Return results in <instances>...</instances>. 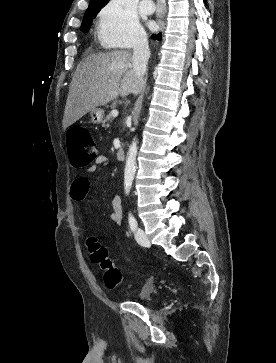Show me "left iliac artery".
<instances>
[{
    "instance_id": "1",
    "label": "left iliac artery",
    "mask_w": 276,
    "mask_h": 363,
    "mask_svg": "<svg viewBox=\"0 0 276 363\" xmlns=\"http://www.w3.org/2000/svg\"><path fill=\"white\" fill-rule=\"evenodd\" d=\"M128 220H129L130 229L132 231H135L138 224H137V221H136L135 217L131 213H129Z\"/></svg>"
}]
</instances>
